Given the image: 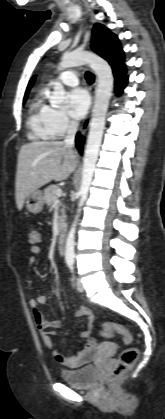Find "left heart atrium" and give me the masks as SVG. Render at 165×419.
Instances as JSON below:
<instances>
[{"label": "left heart atrium", "instance_id": "left-heart-atrium-1", "mask_svg": "<svg viewBox=\"0 0 165 419\" xmlns=\"http://www.w3.org/2000/svg\"><path fill=\"white\" fill-rule=\"evenodd\" d=\"M69 114L75 119L83 118L90 105L88 93L81 88L71 90L68 95Z\"/></svg>", "mask_w": 165, "mask_h": 419}]
</instances>
